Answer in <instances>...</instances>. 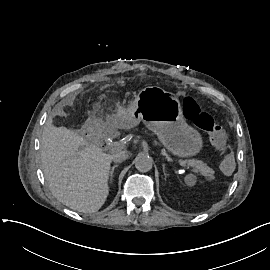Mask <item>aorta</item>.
I'll return each instance as SVG.
<instances>
[{
  "label": "aorta",
  "instance_id": "762f6f07",
  "mask_svg": "<svg viewBox=\"0 0 270 270\" xmlns=\"http://www.w3.org/2000/svg\"><path fill=\"white\" fill-rule=\"evenodd\" d=\"M152 166L153 159L147 155H138L135 159V167L140 172H148Z\"/></svg>",
  "mask_w": 270,
  "mask_h": 270
}]
</instances>
